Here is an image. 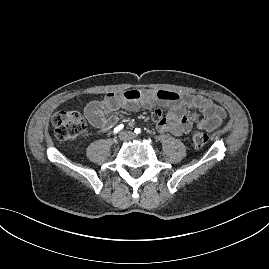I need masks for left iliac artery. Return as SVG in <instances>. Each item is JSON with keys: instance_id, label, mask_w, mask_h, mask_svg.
Masks as SVG:
<instances>
[{"instance_id": "1", "label": "left iliac artery", "mask_w": 269, "mask_h": 269, "mask_svg": "<svg viewBox=\"0 0 269 269\" xmlns=\"http://www.w3.org/2000/svg\"><path fill=\"white\" fill-rule=\"evenodd\" d=\"M134 132H135L136 134H140V133H141V129H140V128H135Z\"/></svg>"}]
</instances>
